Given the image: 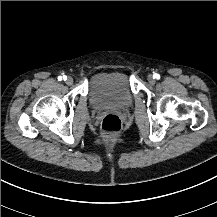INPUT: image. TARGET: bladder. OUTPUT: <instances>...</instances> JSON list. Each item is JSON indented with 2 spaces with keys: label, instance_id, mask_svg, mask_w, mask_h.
Masks as SVG:
<instances>
[{
  "label": "bladder",
  "instance_id": "obj_1",
  "mask_svg": "<svg viewBox=\"0 0 217 217\" xmlns=\"http://www.w3.org/2000/svg\"><path fill=\"white\" fill-rule=\"evenodd\" d=\"M92 98L96 104L124 108L131 103L129 83L122 75H106L91 85Z\"/></svg>",
  "mask_w": 217,
  "mask_h": 217
}]
</instances>
